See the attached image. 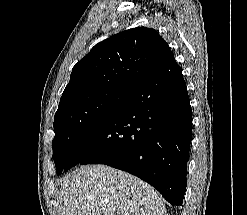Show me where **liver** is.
I'll use <instances>...</instances> for the list:
<instances>
[{
	"label": "liver",
	"mask_w": 247,
	"mask_h": 215,
	"mask_svg": "<svg viewBox=\"0 0 247 215\" xmlns=\"http://www.w3.org/2000/svg\"><path fill=\"white\" fill-rule=\"evenodd\" d=\"M59 215H166L146 182L105 165L80 167L64 178Z\"/></svg>",
	"instance_id": "6515ba94"
}]
</instances>
